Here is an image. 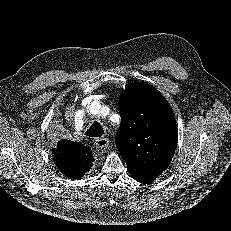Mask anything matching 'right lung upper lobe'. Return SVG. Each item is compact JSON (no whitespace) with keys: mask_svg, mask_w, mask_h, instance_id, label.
<instances>
[{"mask_svg":"<svg viewBox=\"0 0 231 231\" xmlns=\"http://www.w3.org/2000/svg\"><path fill=\"white\" fill-rule=\"evenodd\" d=\"M75 143V142H74ZM71 143L61 140L53 149L54 161L59 170L69 178H81L92 167L93 156L91 150L82 143Z\"/></svg>","mask_w":231,"mask_h":231,"instance_id":"1","label":"right lung upper lobe"}]
</instances>
